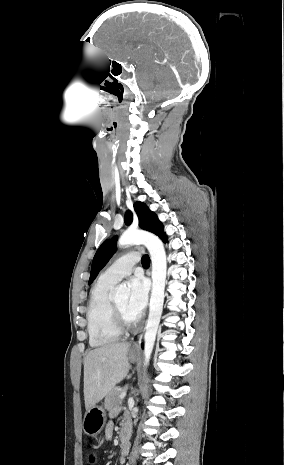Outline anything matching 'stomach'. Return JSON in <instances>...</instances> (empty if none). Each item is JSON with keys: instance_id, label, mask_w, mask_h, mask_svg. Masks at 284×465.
I'll use <instances>...</instances> for the list:
<instances>
[{"instance_id": "1", "label": "stomach", "mask_w": 284, "mask_h": 465, "mask_svg": "<svg viewBox=\"0 0 284 465\" xmlns=\"http://www.w3.org/2000/svg\"><path fill=\"white\" fill-rule=\"evenodd\" d=\"M130 361H137L138 353L130 351ZM106 421V415L102 407H92L89 411H86L83 419L82 429L89 437H96L100 431H102Z\"/></svg>"}]
</instances>
